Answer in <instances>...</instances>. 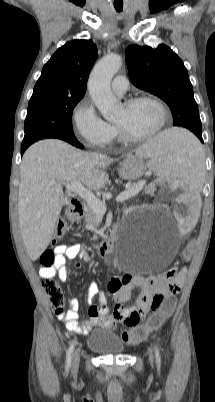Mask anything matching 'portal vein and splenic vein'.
<instances>
[{"label":"portal vein and splenic vein","instance_id":"portal-vein-and-splenic-vein-1","mask_svg":"<svg viewBox=\"0 0 215 402\" xmlns=\"http://www.w3.org/2000/svg\"><path fill=\"white\" fill-rule=\"evenodd\" d=\"M145 181L140 182L136 187L127 188L124 192L117 196V202H123L128 198L136 195L144 186ZM66 190L69 192H74L86 201L87 205L98 215L101 216L105 214L107 208L105 204L99 200L89 189L85 188L81 182L72 181L65 185Z\"/></svg>","mask_w":215,"mask_h":402}]
</instances>
